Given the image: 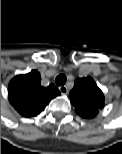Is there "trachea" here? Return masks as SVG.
<instances>
[{
  "label": "trachea",
  "mask_w": 122,
  "mask_h": 154,
  "mask_svg": "<svg viewBox=\"0 0 122 154\" xmlns=\"http://www.w3.org/2000/svg\"><path fill=\"white\" fill-rule=\"evenodd\" d=\"M66 76L63 75V74H60L56 77L55 79V83L58 85V86H63L65 83H66Z\"/></svg>",
  "instance_id": "trachea-1"
}]
</instances>
